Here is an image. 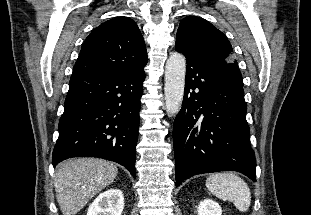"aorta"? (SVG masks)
Returning a JSON list of instances; mask_svg holds the SVG:
<instances>
[{
	"label": "aorta",
	"instance_id": "762f6f07",
	"mask_svg": "<svg viewBox=\"0 0 311 215\" xmlns=\"http://www.w3.org/2000/svg\"><path fill=\"white\" fill-rule=\"evenodd\" d=\"M186 60L178 52L172 53L165 66V104L168 116L181 109L185 87Z\"/></svg>",
	"mask_w": 311,
	"mask_h": 215
}]
</instances>
